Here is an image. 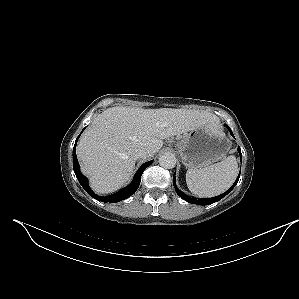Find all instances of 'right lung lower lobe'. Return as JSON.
<instances>
[{"label":"right lung lower lobe","mask_w":299,"mask_h":299,"mask_svg":"<svg viewBox=\"0 0 299 299\" xmlns=\"http://www.w3.org/2000/svg\"><path fill=\"white\" fill-rule=\"evenodd\" d=\"M81 135V134H80ZM79 135V136H80ZM79 136L76 139L74 148H73V168H74V172L76 174V177L79 181V183L81 184V186L84 188V190L93 198H95L96 200H99L101 202H110V203H115V202H119L123 199L128 198L129 196H131L132 194H134L136 192V190L138 189L139 185H140V181H141V175L144 172V170L151 165L152 161H148L146 163H144L139 170L136 172L134 179L132 181L131 184H129L127 187L121 189L120 191H118L117 193H114L110 196L107 197H102V196H98L96 195L91 188L88 185V179L80 172V166L77 160V156H76V144H77V140L79 138Z\"/></svg>","instance_id":"right-lung-lower-lobe-1"}]
</instances>
